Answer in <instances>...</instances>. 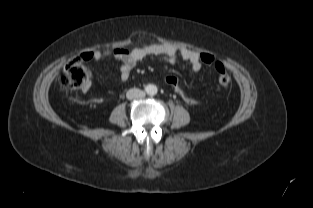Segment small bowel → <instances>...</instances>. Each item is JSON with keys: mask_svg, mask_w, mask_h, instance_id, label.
I'll use <instances>...</instances> for the list:
<instances>
[{"mask_svg": "<svg viewBox=\"0 0 313 208\" xmlns=\"http://www.w3.org/2000/svg\"><path fill=\"white\" fill-rule=\"evenodd\" d=\"M158 57L169 63H175L180 57L190 65L192 72H198L202 68L203 62L200 60V53L190 50L188 48H176L168 44H149L133 49L116 48L113 51H91L82 55L84 60L100 61L105 58L113 57L121 63L120 79L127 81L130 77L132 69L135 65L145 59L146 57ZM89 85L83 88L84 91L88 90Z\"/></svg>", "mask_w": 313, "mask_h": 208, "instance_id": "obj_1", "label": "small bowel"}]
</instances>
